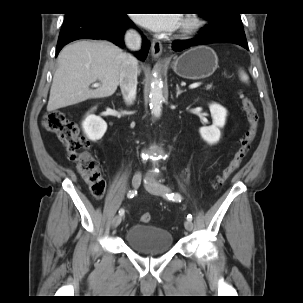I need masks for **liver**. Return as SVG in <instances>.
I'll return each mask as SVG.
<instances>
[{
    "label": "liver",
    "mask_w": 303,
    "mask_h": 303,
    "mask_svg": "<svg viewBox=\"0 0 303 303\" xmlns=\"http://www.w3.org/2000/svg\"><path fill=\"white\" fill-rule=\"evenodd\" d=\"M124 55L108 41H77L65 46L58 56L47 111L113 95ZM96 81L100 86L90 89Z\"/></svg>",
    "instance_id": "6515ba94"
}]
</instances>
